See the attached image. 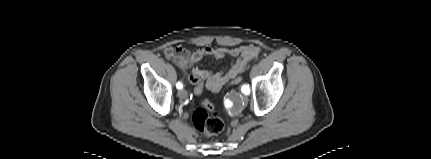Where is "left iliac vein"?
Listing matches in <instances>:
<instances>
[{
    "label": "left iliac vein",
    "mask_w": 431,
    "mask_h": 159,
    "mask_svg": "<svg viewBox=\"0 0 431 159\" xmlns=\"http://www.w3.org/2000/svg\"><path fill=\"white\" fill-rule=\"evenodd\" d=\"M242 102L243 104H246L248 102V98L246 96L242 97Z\"/></svg>",
    "instance_id": "1"
}]
</instances>
